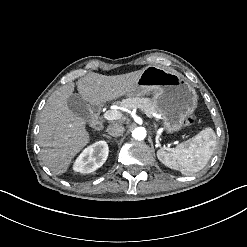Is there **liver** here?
I'll return each mask as SVG.
<instances>
[{
  "label": "liver",
  "mask_w": 247,
  "mask_h": 247,
  "mask_svg": "<svg viewBox=\"0 0 247 247\" xmlns=\"http://www.w3.org/2000/svg\"><path fill=\"white\" fill-rule=\"evenodd\" d=\"M142 71L116 76L88 73L76 82L79 93L94 105L106 103L126 93L134 86ZM74 89L69 82L48 98L40 118L39 145L44 164L54 174L63 173L74 155L87 143L83 118L67 105Z\"/></svg>",
  "instance_id": "obj_1"
}]
</instances>
